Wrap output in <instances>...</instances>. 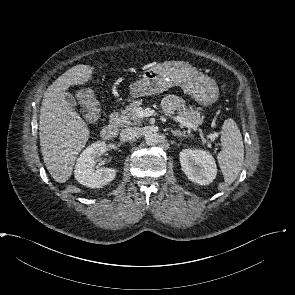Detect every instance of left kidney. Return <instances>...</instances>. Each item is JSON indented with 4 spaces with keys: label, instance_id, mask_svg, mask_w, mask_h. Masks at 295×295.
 <instances>
[{
    "label": "left kidney",
    "instance_id": "1",
    "mask_svg": "<svg viewBox=\"0 0 295 295\" xmlns=\"http://www.w3.org/2000/svg\"><path fill=\"white\" fill-rule=\"evenodd\" d=\"M180 163L188 179L200 185H209L217 175L213 156L201 149H183Z\"/></svg>",
    "mask_w": 295,
    "mask_h": 295
}]
</instances>
